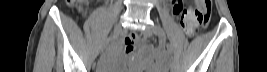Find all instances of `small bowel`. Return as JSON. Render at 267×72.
<instances>
[{
    "label": "small bowel",
    "instance_id": "obj_1",
    "mask_svg": "<svg viewBox=\"0 0 267 72\" xmlns=\"http://www.w3.org/2000/svg\"><path fill=\"white\" fill-rule=\"evenodd\" d=\"M174 2H173V6H172V14L175 17L181 16V24L185 27L186 31L188 32L187 27L194 26L197 23V19H196L195 16H193V15H191L189 13V10L191 9L190 7L187 8V9L183 8V4H182L181 1H178L179 2V11H175L173 9ZM189 34H191V33H189ZM137 41H138V39L135 37V35H132V34L131 35H127V36H125L123 38V43L125 45V51H126L127 54H131L132 53V51L135 48V44H136ZM155 56L157 58H160V54L158 52L155 53Z\"/></svg>",
    "mask_w": 267,
    "mask_h": 72
}]
</instances>
